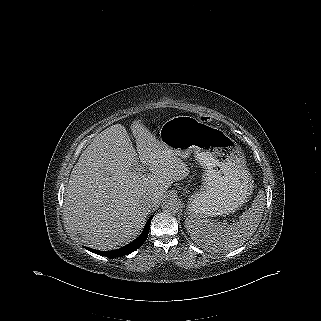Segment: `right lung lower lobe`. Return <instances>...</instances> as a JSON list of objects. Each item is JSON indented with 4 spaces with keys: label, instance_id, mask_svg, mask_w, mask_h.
Instances as JSON below:
<instances>
[{
    "label": "right lung lower lobe",
    "instance_id": "right-lung-lower-lobe-1",
    "mask_svg": "<svg viewBox=\"0 0 321 321\" xmlns=\"http://www.w3.org/2000/svg\"><path fill=\"white\" fill-rule=\"evenodd\" d=\"M152 218H153V216L150 217L149 220L147 221L141 235L137 239H135L133 242L127 244L126 246H124L122 248L112 250V251H99V250H94L91 248H87V249L93 253H96V254L102 255V256H106L109 258L120 257V256L130 254L133 251L140 248L143 245V243L146 241L148 233H149Z\"/></svg>",
    "mask_w": 321,
    "mask_h": 321
}]
</instances>
